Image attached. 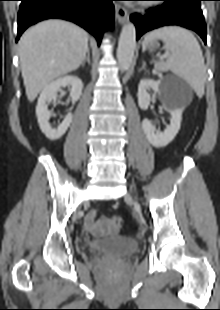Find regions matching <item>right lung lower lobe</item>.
<instances>
[{
	"label": "right lung lower lobe",
	"mask_w": 220,
	"mask_h": 310,
	"mask_svg": "<svg viewBox=\"0 0 220 310\" xmlns=\"http://www.w3.org/2000/svg\"><path fill=\"white\" fill-rule=\"evenodd\" d=\"M113 0H21L18 13V35L31 25L49 18L72 21L100 43L104 29L114 25Z\"/></svg>",
	"instance_id": "right-lung-lower-lobe-1"
}]
</instances>
